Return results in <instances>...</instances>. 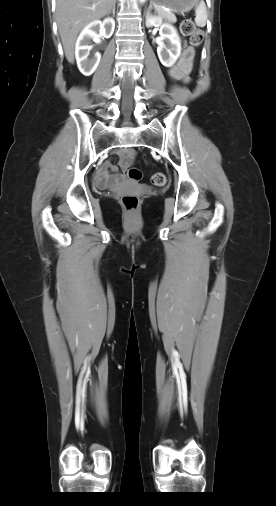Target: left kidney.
Returning a JSON list of instances; mask_svg holds the SVG:
<instances>
[{
    "mask_svg": "<svg viewBox=\"0 0 276 506\" xmlns=\"http://www.w3.org/2000/svg\"><path fill=\"white\" fill-rule=\"evenodd\" d=\"M146 26L160 27L161 41L157 47V54L164 66H173L181 54L180 37L176 29L168 23H162L160 17L150 14L146 16Z\"/></svg>",
    "mask_w": 276,
    "mask_h": 506,
    "instance_id": "obj_1",
    "label": "left kidney"
}]
</instances>
